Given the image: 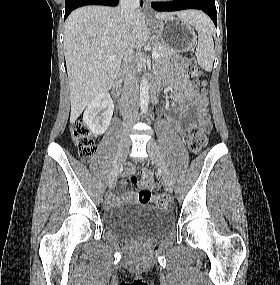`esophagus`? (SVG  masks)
Segmentation results:
<instances>
[{"label":"esophagus","mask_w":280,"mask_h":285,"mask_svg":"<svg viewBox=\"0 0 280 285\" xmlns=\"http://www.w3.org/2000/svg\"><path fill=\"white\" fill-rule=\"evenodd\" d=\"M144 11L147 15H150L151 14V9H150V6L148 3H144Z\"/></svg>","instance_id":"1"}]
</instances>
